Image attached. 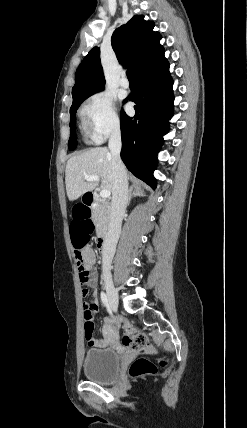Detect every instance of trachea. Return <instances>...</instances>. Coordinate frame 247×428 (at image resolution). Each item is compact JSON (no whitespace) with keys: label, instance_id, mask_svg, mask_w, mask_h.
I'll return each instance as SVG.
<instances>
[{"label":"trachea","instance_id":"3493384b","mask_svg":"<svg viewBox=\"0 0 247 428\" xmlns=\"http://www.w3.org/2000/svg\"><path fill=\"white\" fill-rule=\"evenodd\" d=\"M127 77L129 80H133V74H132V71L130 69L127 70Z\"/></svg>","mask_w":247,"mask_h":428}]
</instances>
